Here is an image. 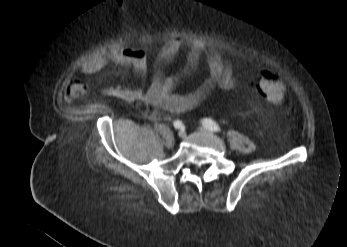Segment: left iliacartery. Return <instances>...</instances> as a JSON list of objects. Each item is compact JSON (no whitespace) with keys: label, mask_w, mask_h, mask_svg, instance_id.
Wrapping results in <instances>:
<instances>
[{"label":"left iliac artery","mask_w":347,"mask_h":247,"mask_svg":"<svg viewBox=\"0 0 347 247\" xmlns=\"http://www.w3.org/2000/svg\"><path fill=\"white\" fill-rule=\"evenodd\" d=\"M202 124H203V126L205 127V128H207V129H209V130H211V131H214V132H218V131H220L221 130V128L219 127V125L216 123V122H214L213 120H211V119H204L203 121H202Z\"/></svg>","instance_id":"left-iliac-artery-1"}]
</instances>
